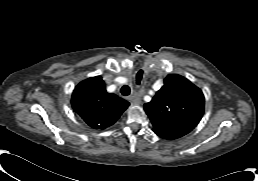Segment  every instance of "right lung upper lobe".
Returning a JSON list of instances; mask_svg holds the SVG:
<instances>
[{
    "label": "right lung upper lobe",
    "instance_id": "right-lung-upper-lobe-1",
    "mask_svg": "<svg viewBox=\"0 0 258 181\" xmlns=\"http://www.w3.org/2000/svg\"><path fill=\"white\" fill-rule=\"evenodd\" d=\"M74 111L92 128L104 129L116 122L129 103L108 93L100 76L80 82L73 91Z\"/></svg>",
    "mask_w": 258,
    "mask_h": 181
}]
</instances>
